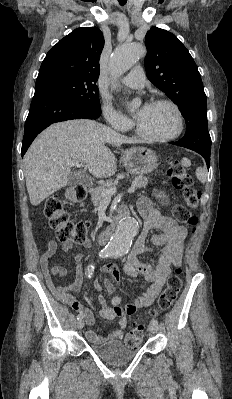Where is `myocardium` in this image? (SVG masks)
Listing matches in <instances>:
<instances>
[{
	"mask_svg": "<svg viewBox=\"0 0 232 399\" xmlns=\"http://www.w3.org/2000/svg\"><path fill=\"white\" fill-rule=\"evenodd\" d=\"M155 105H169L171 106L174 111L176 112L177 115V119H178V127L177 130L169 135V136H164V137H152L149 136L147 134H145L139 127V125L137 124L136 120L132 122V126L134 128L135 134L142 140L149 142V143H165V142H169L172 140H175L176 138H178L183 130H184V126H185V121H184V115L182 113V110L180 109V107L170 101V100H166V99H152L150 101H148L146 103V106H155Z\"/></svg>",
	"mask_w": 232,
	"mask_h": 399,
	"instance_id": "1",
	"label": "myocardium"
}]
</instances>
